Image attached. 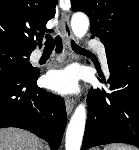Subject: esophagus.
<instances>
[{
	"mask_svg": "<svg viewBox=\"0 0 139 150\" xmlns=\"http://www.w3.org/2000/svg\"><path fill=\"white\" fill-rule=\"evenodd\" d=\"M61 29H62V39L64 43V47L66 50V54L69 58L73 57L72 49H71V40L73 38L72 35V30L70 26V21H69V15L67 12H62L61 13ZM74 99L72 97H66L65 98V106H66V111L67 114L70 115L73 107H74Z\"/></svg>",
	"mask_w": 139,
	"mask_h": 150,
	"instance_id": "34e87169",
	"label": "esophagus"
}]
</instances>
